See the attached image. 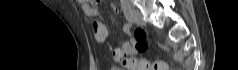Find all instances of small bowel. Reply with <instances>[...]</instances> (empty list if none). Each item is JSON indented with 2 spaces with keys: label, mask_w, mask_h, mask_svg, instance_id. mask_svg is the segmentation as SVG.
Instances as JSON below:
<instances>
[{
  "label": "small bowel",
  "mask_w": 238,
  "mask_h": 70,
  "mask_svg": "<svg viewBox=\"0 0 238 70\" xmlns=\"http://www.w3.org/2000/svg\"><path fill=\"white\" fill-rule=\"evenodd\" d=\"M83 13L92 18H98L99 17V11L95 6H91L86 0H79L78 1ZM93 30H94V35L97 41L103 42L105 41L107 35H108V30L106 26L102 23H94L93 24ZM125 32L127 34H131V26L127 25L124 28ZM135 39H131L130 41L127 42H122L121 48L122 49V54H128V55H133L135 54L138 50L135 47ZM111 52L113 55L115 54V49L110 47ZM117 61H120L121 59H116Z\"/></svg>",
  "instance_id": "obj_1"
}]
</instances>
